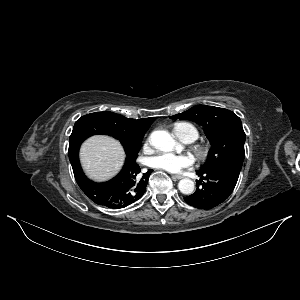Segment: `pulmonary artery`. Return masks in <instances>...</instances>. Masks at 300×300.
Listing matches in <instances>:
<instances>
[{
  "mask_svg": "<svg viewBox=\"0 0 300 300\" xmlns=\"http://www.w3.org/2000/svg\"><path fill=\"white\" fill-rule=\"evenodd\" d=\"M184 141H186V142H192V139H191V138H188V139H186V140H184Z\"/></svg>",
  "mask_w": 300,
  "mask_h": 300,
  "instance_id": "1",
  "label": "pulmonary artery"
}]
</instances>
